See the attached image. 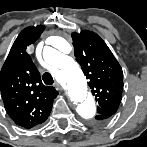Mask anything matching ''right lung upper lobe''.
Wrapping results in <instances>:
<instances>
[{
  "instance_id": "obj_1",
  "label": "right lung upper lobe",
  "mask_w": 147,
  "mask_h": 147,
  "mask_svg": "<svg viewBox=\"0 0 147 147\" xmlns=\"http://www.w3.org/2000/svg\"><path fill=\"white\" fill-rule=\"evenodd\" d=\"M45 29L44 25L23 29L15 40L0 72L1 96L12 120L24 128L43 123L49 116L58 91L45 86L26 52Z\"/></svg>"
}]
</instances>
